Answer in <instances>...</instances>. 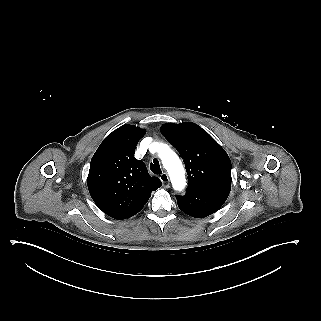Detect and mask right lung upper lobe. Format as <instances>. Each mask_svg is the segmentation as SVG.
I'll return each mask as SVG.
<instances>
[{"label": "right lung upper lobe", "instance_id": "cb5924a9", "mask_svg": "<svg viewBox=\"0 0 321 321\" xmlns=\"http://www.w3.org/2000/svg\"><path fill=\"white\" fill-rule=\"evenodd\" d=\"M145 130L123 125L109 134L93 155L88 189L95 204L108 216L126 219L138 213L152 191L162 186L151 177L142 160L134 157Z\"/></svg>", "mask_w": 321, "mask_h": 321}]
</instances>
